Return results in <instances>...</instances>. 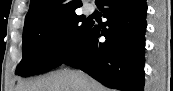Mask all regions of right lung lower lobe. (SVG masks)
Returning a JSON list of instances; mask_svg holds the SVG:
<instances>
[{"mask_svg": "<svg viewBox=\"0 0 173 91\" xmlns=\"http://www.w3.org/2000/svg\"><path fill=\"white\" fill-rule=\"evenodd\" d=\"M96 5L108 20L100 26L91 22L62 63L83 70L107 87L143 91L146 0H99Z\"/></svg>", "mask_w": 173, "mask_h": 91, "instance_id": "right-lung-lower-lobe-1", "label": "right lung lower lobe"}]
</instances>
